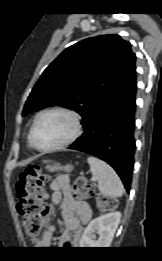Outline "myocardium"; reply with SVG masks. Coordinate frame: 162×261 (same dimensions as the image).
Segmentation results:
<instances>
[{
    "label": "myocardium",
    "mask_w": 162,
    "mask_h": 261,
    "mask_svg": "<svg viewBox=\"0 0 162 261\" xmlns=\"http://www.w3.org/2000/svg\"><path fill=\"white\" fill-rule=\"evenodd\" d=\"M50 113H62V114L69 116L73 123V130H72L71 134L67 138L62 140L61 142H59L55 145L49 146V147H39L36 145L35 140H34V131H35L38 121L44 115H47ZM81 132H82V122H81V117L79 116V114L70 108L62 107V106H55V107L47 108V109L39 112L36 115V117L33 121V124L31 126L30 132H29V142H30V145L37 151L51 152V151L59 150V149H62L64 147L71 145L81 135Z\"/></svg>",
    "instance_id": "obj_1"
}]
</instances>
